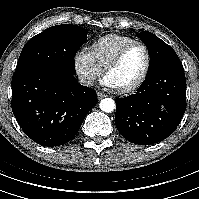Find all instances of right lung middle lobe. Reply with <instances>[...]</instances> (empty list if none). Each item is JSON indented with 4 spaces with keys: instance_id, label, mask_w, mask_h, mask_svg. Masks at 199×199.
I'll return each instance as SVG.
<instances>
[{
    "instance_id": "1",
    "label": "right lung middle lobe",
    "mask_w": 199,
    "mask_h": 199,
    "mask_svg": "<svg viewBox=\"0 0 199 199\" xmlns=\"http://www.w3.org/2000/svg\"><path fill=\"white\" fill-rule=\"evenodd\" d=\"M86 34V29L72 24L45 29L24 46L13 77L45 68H55L74 75V57L87 40Z\"/></svg>"
}]
</instances>
